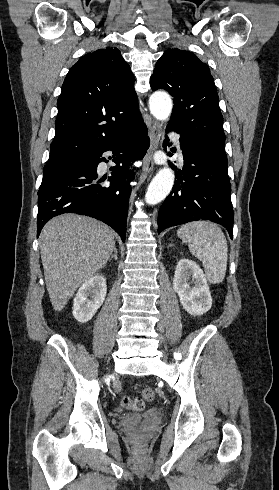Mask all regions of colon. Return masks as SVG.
<instances>
[{
    "mask_svg": "<svg viewBox=\"0 0 279 490\" xmlns=\"http://www.w3.org/2000/svg\"><path fill=\"white\" fill-rule=\"evenodd\" d=\"M154 397H155V391L152 388L148 387L144 389L140 397L134 399L128 396L122 397L120 401V405L122 408L133 409L135 411L141 412L144 410L146 403L153 401Z\"/></svg>",
    "mask_w": 279,
    "mask_h": 490,
    "instance_id": "5ec220e1",
    "label": "colon"
}]
</instances>
